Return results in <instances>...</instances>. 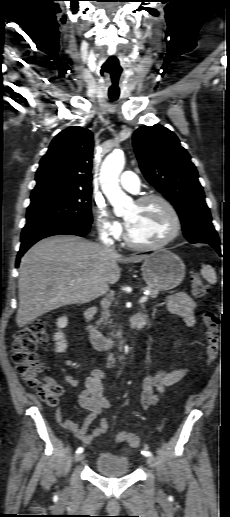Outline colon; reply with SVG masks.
Here are the masks:
<instances>
[{"label": "colon", "instance_id": "5ec220e1", "mask_svg": "<svg viewBox=\"0 0 230 517\" xmlns=\"http://www.w3.org/2000/svg\"><path fill=\"white\" fill-rule=\"evenodd\" d=\"M192 292L200 300L206 299L209 290L207 285L198 277H194L191 283ZM206 335V362L213 364L219 353L220 345V318L213 310H207L203 314ZM47 339L45 322L37 319L27 326L19 329L12 344V362L17 372L25 383L37 391L40 399L47 405L55 406L64 394L63 387L54 379L42 378L43 363L36 355V349ZM127 443L131 446H139L140 439L137 435L127 432ZM118 443H123L119 439Z\"/></svg>", "mask_w": 230, "mask_h": 517}]
</instances>
